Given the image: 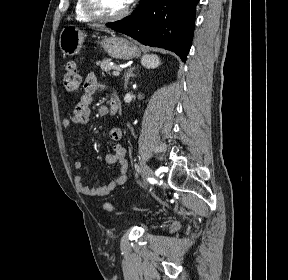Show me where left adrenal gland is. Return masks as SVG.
Listing matches in <instances>:
<instances>
[{
	"instance_id": "left-adrenal-gland-1",
	"label": "left adrenal gland",
	"mask_w": 288,
	"mask_h": 280,
	"mask_svg": "<svg viewBox=\"0 0 288 280\" xmlns=\"http://www.w3.org/2000/svg\"><path fill=\"white\" fill-rule=\"evenodd\" d=\"M136 67H130L127 72L125 73L124 75V89L126 90L127 89V86H128V82H129V79L131 77H134V73L133 71L135 70Z\"/></svg>"
}]
</instances>
